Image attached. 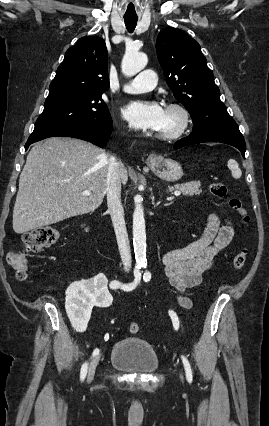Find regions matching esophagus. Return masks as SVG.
I'll use <instances>...</instances> for the list:
<instances>
[{"instance_id": "1", "label": "esophagus", "mask_w": 269, "mask_h": 426, "mask_svg": "<svg viewBox=\"0 0 269 426\" xmlns=\"http://www.w3.org/2000/svg\"><path fill=\"white\" fill-rule=\"evenodd\" d=\"M157 159H158L157 154H155V153H151V154L148 156L147 161H148V163H149V164H154V163L157 161Z\"/></svg>"}]
</instances>
